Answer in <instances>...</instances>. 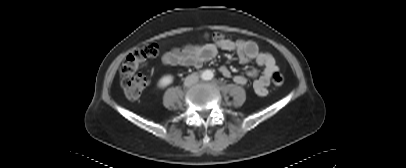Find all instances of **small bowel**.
<instances>
[{
	"instance_id": "obj_1",
	"label": "small bowel",
	"mask_w": 406,
	"mask_h": 168,
	"mask_svg": "<svg viewBox=\"0 0 406 168\" xmlns=\"http://www.w3.org/2000/svg\"><path fill=\"white\" fill-rule=\"evenodd\" d=\"M218 49L235 52L241 63L255 62L263 68L259 73L257 70H250L245 74L233 76L227 66L220 67V73L225 78H233L234 82L245 86L250 78H255L252 82L254 92L261 97L268 94V85L272 73L278 70V65L271 53L263 51L256 42L252 40L238 39L236 41L227 40L222 44L206 45H186L181 48H174L165 53L162 61L171 66H192L200 67L204 62L211 60L217 54Z\"/></svg>"
}]
</instances>
